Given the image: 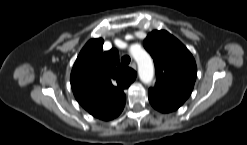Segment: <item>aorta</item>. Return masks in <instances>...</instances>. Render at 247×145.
<instances>
[{"label":"aorta","instance_id":"obj_1","mask_svg":"<svg viewBox=\"0 0 247 145\" xmlns=\"http://www.w3.org/2000/svg\"><path fill=\"white\" fill-rule=\"evenodd\" d=\"M131 54L138 64V73L140 80L145 83H151L154 77V65L150 55L141 48H131Z\"/></svg>","mask_w":247,"mask_h":145}]
</instances>
